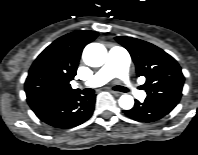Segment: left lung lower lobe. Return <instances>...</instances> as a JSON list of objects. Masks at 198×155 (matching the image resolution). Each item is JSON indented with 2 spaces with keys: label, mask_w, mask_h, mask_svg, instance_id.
<instances>
[{
  "label": "left lung lower lobe",
  "mask_w": 198,
  "mask_h": 155,
  "mask_svg": "<svg viewBox=\"0 0 198 155\" xmlns=\"http://www.w3.org/2000/svg\"><path fill=\"white\" fill-rule=\"evenodd\" d=\"M176 105V102L167 100L145 99L143 103L135 100V106L131 110L124 111V113L136 121L149 123L164 117L170 113Z\"/></svg>",
  "instance_id": "left-lung-lower-lobe-1"
}]
</instances>
